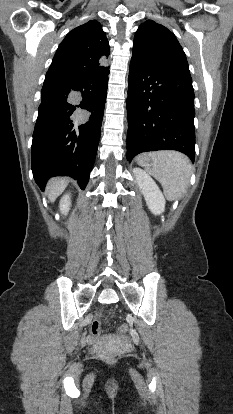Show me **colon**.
Listing matches in <instances>:
<instances>
[{
	"instance_id": "5ec220e1",
	"label": "colon",
	"mask_w": 233,
	"mask_h": 414,
	"mask_svg": "<svg viewBox=\"0 0 233 414\" xmlns=\"http://www.w3.org/2000/svg\"><path fill=\"white\" fill-rule=\"evenodd\" d=\"M129 328L128 325L125 323H122L118 326V332L120 334H126L128 332ZM90 333L92 336L96 337L99 336L101 333V327H100V321L94 320L90 327Z\"/></svg>"
}]
</instances>
